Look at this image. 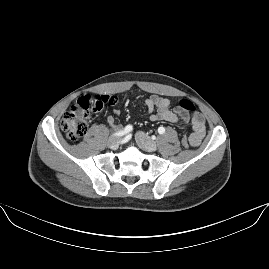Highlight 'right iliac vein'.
I'll return each instance as SVG.
<instances>
[{
	"label": "right iliac vein",
	"instance_id": "63e3f726",
	"mask_svg": "<svg viewBox=\"0 0 269 269\" xmlns=\"http://www.w3.org/2000/svg\"><path fill=\"white\" fill-rule=\"evenodd\" d=\"M119 143H120V137L119 136L111 137L108 140V147L111 148V149H115V148H117L119 146Z\"/></svg>",
	"mask_w": 269,
	"mask_h": 269
}]
</instances>
